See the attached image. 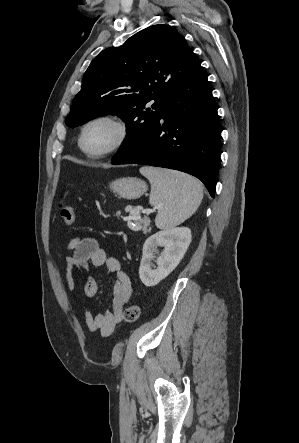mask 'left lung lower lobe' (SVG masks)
<instances>
[{"mask_svg":"<svg viewBox=\"0 0 299 443\" xmlns=\"http://www.w3.org/2000/svg\"><path fill=\"white\" fill-rule=\"evenodd\" d=\"M220 123L207 76L199 64L171 91L152 127L111 164L175 169L200 179L214 197Z\"/></svg>","mask_w":299,"mask_h":443,"instance_id":"1","label":"left lung lower lobe"}]
</instances>
